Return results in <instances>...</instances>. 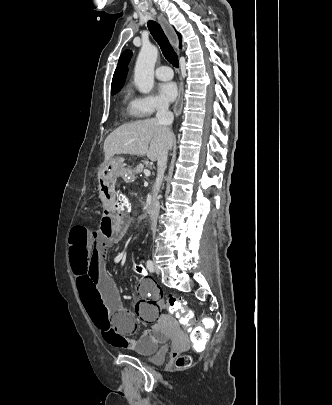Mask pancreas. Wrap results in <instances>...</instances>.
Wrapping results in <instances>:
<instances>
[{"instance_id":"cf45deb5","label":"pancreas","mask_w":332,"mask_h":405,"mask_svg":"<svg viewBox=\"0 0 332 405\" xmlns=\"http://www.w3.org/2000/svg\"><path fill=\"white\" fill-rule=\"evenodd\" d=\"M143 170H144V165H143V164H138V165L136 166V168H135V172H136L137 174H141V173L143 172Z\"/></svg>"}]
</instances>
